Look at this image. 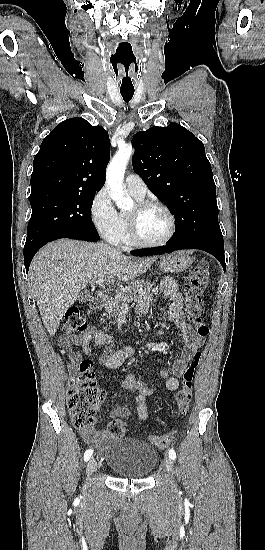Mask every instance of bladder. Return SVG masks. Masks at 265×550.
<instances>
[{"label":"bladder","mask_w":265,"mask_h":550,"mask_svg":"<svg viewBox=\"0 0 265 550\" xmlns=\"http://www.w3.org/2000/svg\"><path fill=\"white\" fill-rule=\"evenodd\" d=\"M105 461L116 475L140 479L147 477L155 468L158 452L138 439L113 437L105 452Z\"/></svg>","instance_id":"31cf9c89"}]
</instances>
